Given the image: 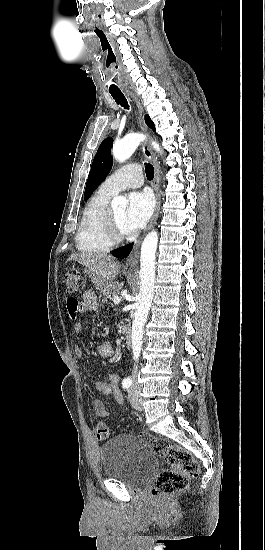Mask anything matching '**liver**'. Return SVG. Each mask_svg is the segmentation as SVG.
<instances>
[{
    "label": "liver",
    "mask_w": 265,
    "mask_h": 550,
    "mask_svg": "<svg viewBox=\"0 0 265 550\" xmlns=\"http://www.w3.org/2000/svg\"><path fill=\"white\" fill-rule=\"evenodd\" d=\"M78 261L100 280L111 282L120 270V263L105 254H74L68 259Z\"/></svg>",
    "instance_id": "1"
}]
</instances>
